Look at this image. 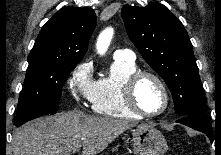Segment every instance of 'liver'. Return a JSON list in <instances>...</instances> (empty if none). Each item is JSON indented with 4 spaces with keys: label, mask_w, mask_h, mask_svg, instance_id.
I'll use <instances>...</instances> for the list:
<instances>
[{
    "label": "liver",
    "mask_w": 221,
    "mask_h": 155,
    "mask_svg": "<svg viewBox=\"0 0 221 155\" xmlns=\"http://www.w3.org/2000/svg\"><path fill=\"white\" fill-rule=\"evenodd\" d=\"M137 123L90 116L74 110L37 119L18 128L13 135V155H70L83 146L82 155H97L119 135Z\"/></svg>",
    "instance_id": "liver-1"
}]
</instances>
